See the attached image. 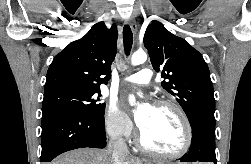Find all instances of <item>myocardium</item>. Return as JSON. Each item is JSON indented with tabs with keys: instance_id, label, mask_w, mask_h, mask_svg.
<instances>
[{
	"instance_id": "1",
	"label": "myocardium",
	"mask_w": 251,
	"mask_h": 164,
	"mask_svg": "<svg viewBox=\"0 0 251 164\" xmlns=\"http://www.w3.org/2000/svg\"><path fill=\"white\" fill-rule=\"evenodd\" d=\"M155 107L172 109L178 115L184 129L183 145L178 151L172 152V153L162 152V151L153 149L152 147L147 145V143L145 142L142 135V131H140L138 134V139H137L138 145L146 153L151 154L156 157H160V158L176 159L183 156L190 149L191 144H192V139H193L192 126H191V123L189 121L187 114L185 113V111L182 109V107L179 104L173 101H169V100H158L155 102Z\"/></svg>"
}]
</instances>
